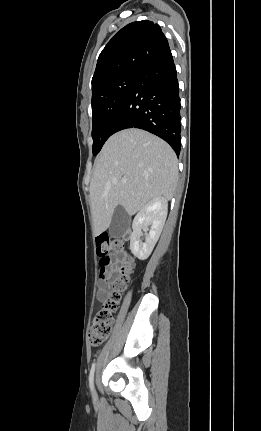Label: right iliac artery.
Wrapping results in <instances>:
<instances>
[{"instance_id":"obj_1","label":"right iliac artery","mask_w":261,"mask_h":431,"mask_svg":"<svg viewBox=\"0 0 261 431\" xmlns=\"http://www.w3.org/2000/svg\"><path fill=\"white\" fill-rule=\"evenodd\" d=\"M94 372H95V363L92 364L90 374H89V386L92 394L94 393Z\"/></svg>"}]
</instances>
